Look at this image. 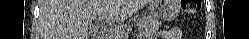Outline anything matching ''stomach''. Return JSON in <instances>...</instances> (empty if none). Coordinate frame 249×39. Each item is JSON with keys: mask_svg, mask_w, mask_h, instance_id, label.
Here are the masks:
<instances>
[{"mask_svg": "<svg viewBox=\"0 0 249 39\" xmlns=\"http://www.w3.org/2000/svg\"><path fill=\"white\" fill-rule=\"evenodd\" d=\"M149 10L153 17L172 20L180 10L179 0H153L150 3Z\"/></svg>", "mask_w": 249, "mask_h": 39, "instance_id": "obj_1", "label": "stomach"}]
</instances>
